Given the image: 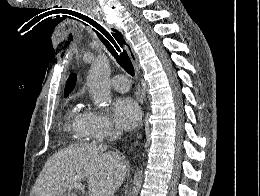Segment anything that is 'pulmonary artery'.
Masks as SVG:
<instances>
[{
    "mask_svg": "<svg viewBox=\"0 0 260 196\" xmlns=\"http://www.w3.org/2000/svg\"><path fill=\"white\" fill-rule=\"evenodd\" d=\"M107 83L108 84H120V85L114 86V89L118 90L120 92L128 91V86H127V84H129L128 76H114V79H108Z\"/></svg>",
    "mask_w": 260,
    "mask_h": 196,
    "instance_id": "obj_1",
    "label": "pulmonary artery"
}]
</instances>
